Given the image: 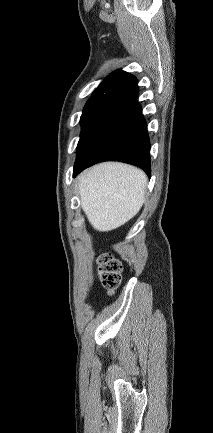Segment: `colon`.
Returning <instances> with one entry per match:
<instances>
[{
  "mask_svg": "<svg viewBox=\"0 0 213 433\" xmlns=\"http://www.w3.org/2000/svg\"><path fill=\"white\" fill-rule=\"evenodd\" d=\"M97 265L101 284L108 292H114L121 282V263L112 255L103 253L98 257Z\"/></svg>",
  "mask_w": 213,
  "mask_h": 433,
  "instance_id": "1",
  "label": "colon"
}]
</instances>
